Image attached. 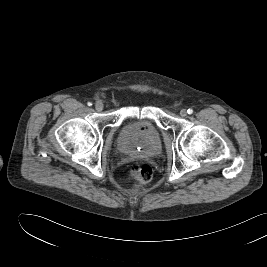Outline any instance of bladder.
<instances>
[{"instance_id": "bladder-1", "label": "bladder", "mask_w": 267, "mask_h": 267, "mask_svg": "<svg viewBox=\"0 0 267 267\" xmlns=\"http://www.w3.org/2000/svg\"><path fill=\"white\" fill-rule=\"evenodd\" d=\"M117 148L125 155L154 158L162 152V139L151 120H128L120 127Z\"/></svg>"}]
</instances>
